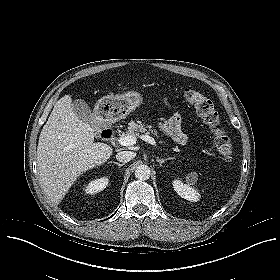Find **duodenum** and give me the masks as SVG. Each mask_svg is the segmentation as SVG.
I'll list each match as a JSON object with an SVG mask.
<instances>
[{
  "instance_id": "1",
  "label": "duodenum",
  "mask_w": 280,
  "mask_h": 280,
  "mask_svg": "<svg viewBox=\"0 0 280 280\" xmlns=\"http://www.w3.org/2000/svg\"><path fill=\"white\" fill-rule=\"evenodd\" d=\"M109 136L113 137V133H112V132H110V133H109Z\"/></svg>"
}]
</instances>
